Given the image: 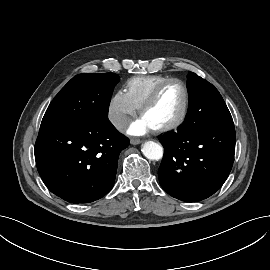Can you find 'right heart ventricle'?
Listing matches in <instances>:
<instances>
[{
  "label": "right heart ventricle",
  "mask_w": 270,
  "mask_h": 270,
  "mask_svg": "<svg viewBox=\"0 0 270 270\" xmlns=\"http://www.w3.org/2000/svg\"><path fill=\"white\" fill-rule=\"evenodd\" d=\"M170 78L164 75L134 76L126 81L125 93L135 108L139 109L153 89Z\"/></svg>",
  "instance_id": "1"
}]
</instances>
